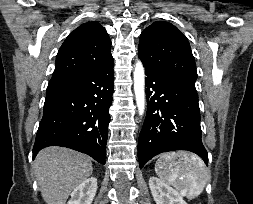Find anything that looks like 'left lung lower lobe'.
Instances as JSON below:
<instances>
[{
	"mask_svg": "<svg viewBox=\"0 0 253 204\" xmlns=\"http://www.w3.org/2000/svg\"><path fill=\"white\" fill-rule=\"evenodd\" d=\"M145 74L147 114L138 141L140 168L153 156L175 150L192 151L207 165L195 85L147 67Z\"/></svg>",
	"mask_w": 253,
	"mask_h": 204,
	"instance_id": "obj_1",
	"label": "left lung lower lobe"
}]
</instances>
